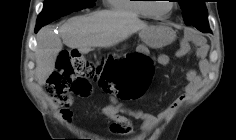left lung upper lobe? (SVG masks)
<instances>
[{
	"mask_svg": "<svg viewBox=\"0 0 236 140\" xmlns=\"http://www.w3.org/2000/svg\"><path fill=\"white\" fill-rule=\"evenodd\" d=\"M177 2L183 10L185 24L195 26L202 32L211 33L205 0H177Z\"/></svg>",
	"mask_w": 236,
	"mask_h": 140,
	"instance_id": "left-lung-upper-lobe-1",
	"label": "left lung upper lobe"
}]
</instances>
